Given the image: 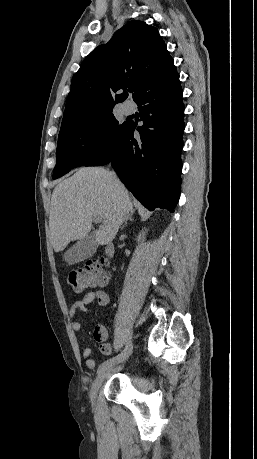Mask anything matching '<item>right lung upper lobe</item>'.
<instances>
[{
  "label": "right lung upper lobe",
  "instance_id": "1",
  "mask_svg": "<svg viewBox=\"0 0 257 459\" xmlns=\"http://www.w3.org/2000/svg\"><path fill=\"white\" fill-rule=\"evenodd\" d=\"M176 73L158 30L143 21H130L107 44L95 48L73 76L60 133L112 110L126 99L131 86L136 102ZM119 90L124 92L117 94Z\"/></svg>",
  "mask_w": 257,
  "mask_h": 459
}]
</instances>
